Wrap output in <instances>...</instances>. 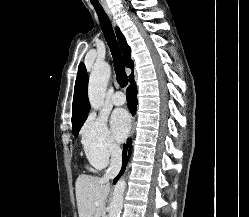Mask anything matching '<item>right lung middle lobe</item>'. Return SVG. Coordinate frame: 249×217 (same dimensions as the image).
<instances>
[{
  "label": "right lung middle lobe",
  "mask_w": 249,
  "mask_h": 217,
  "mask_svg": "<svg viewBox=\"0 0 249 217\" xmlns=\"http://www.w3.org/2000/svg\"><path fill=\"white\" fill-rule=\"evenodd\" d=\"M85 120H86V119H85ZM85 120H83L82 122H79L78 124L72 126V133H73V135H74L75 137L78 136L79 130H80V128L82 127V125H83V123H84Z\"/></svg>",
  "instance_id": "1"
}]
</instances>
